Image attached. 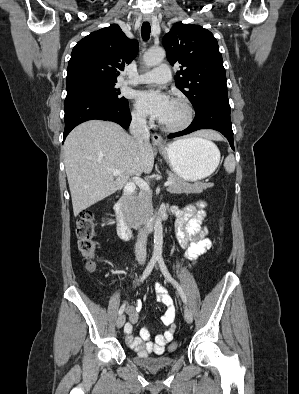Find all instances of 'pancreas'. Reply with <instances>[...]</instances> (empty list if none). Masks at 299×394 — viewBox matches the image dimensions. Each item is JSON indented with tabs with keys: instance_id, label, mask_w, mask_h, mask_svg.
Here are the masks:
<instances>
[{
	"instance_id": "pancreas-1",
	"label": "pancreas",
	"mask_w": 299,
	"mask_h": 394,
	"mask_svg": "<svg viewBox=\"0 0 299 394\" xmlns=\"http://www.w3.org/2000/svg\"><path fill=\"white\" fill-rule=\"evenodd\" d=\"M168 179L172 184L167 188V191L172 194H192L201 193L203 190L212 187V183L197 182L189 184L183 179L176 176L174 173H168ZM152 211V195L150 192L140 191L138 195L132 197L128 205V214L136 221H140L144 215Z\"/></svg>"
}]
</instances>
